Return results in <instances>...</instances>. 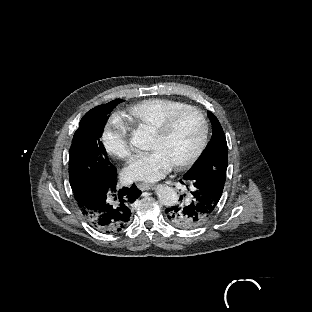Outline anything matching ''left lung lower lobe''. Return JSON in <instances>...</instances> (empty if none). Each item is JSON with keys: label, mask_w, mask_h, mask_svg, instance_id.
Returning a JSON list of instances; mask_svg holds the SVG:
<instances>
[{"label": "left lung lower lobe", "mask_w": 312, "mask_h": 312, "mask_svg": "<svg viewBox=\"0 0 312 312\" xmlns=\"http://www.w3.org/2000/svg\"><path fill=\"white\" fill-rule=\"evenodd\" d=\"M226 173L215 172L205 174L186 183L194 186L191 194L193 199L184 207L174 206L166 209L168 219L183 228H194L206 223L215 215L218 202L223 192ZM184 184L183 181H181Z\"/></svg>", "instance_id": "obj_1"}]
</instances>
